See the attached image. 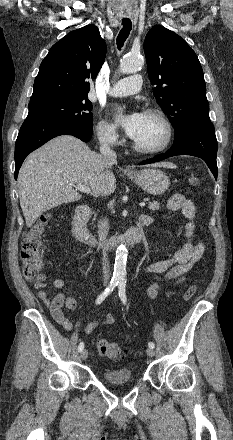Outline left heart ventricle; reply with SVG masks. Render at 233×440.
<instances>
[{
    "label": "left heart ventricle",
    "mask_w": 233,
    "mask_h": 440,
    "mask_svg": "<svg viewBox=\"0 0 233 440\" xmlns=\"http://www.w3.org/2000/svg\"><path fill=\"white\" fill-rule=\"evenodd\" d=\"M164 137L162 123L157 118L144 114L142 126L133 140L143 147L152 148L160 145Z\"/></svg>",
    "instance_id": "left-heart-ventricle-1"
}]
</instances>
